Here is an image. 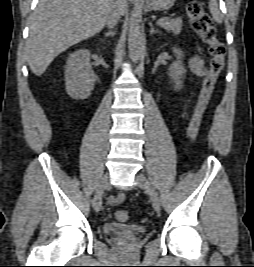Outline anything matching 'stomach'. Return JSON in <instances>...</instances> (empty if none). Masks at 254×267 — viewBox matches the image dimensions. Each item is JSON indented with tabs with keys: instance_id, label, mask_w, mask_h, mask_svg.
Instances as JSON below:
<instances>
[{
	"instance_id": "stomach-1",
	"label": "stomach",
	"mask_w": 254,
	"mask_h": 267,
	"mask_svg": "<svg viewBox=\"0 0 254 267\" xmlns=\"http://www.w3.org/2000/svg\"><path fill=\"white\" fill-rule=\"evenodd\" d=\"M176 0H143L142 4L147 11H163L170 9Z\"/></svg>"
}]
</instances>
